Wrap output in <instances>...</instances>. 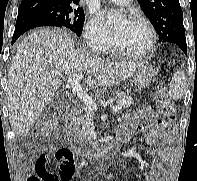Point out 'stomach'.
<instances>
[{
	"instance_id": "obj_1",
	"label": "stomach",
	"mask_w": 197,
	"mask_h": 181,
	"mask_svg": "<svg viewBox=\"0 0 197 181\" xmlns=\"http://www.w3.org/2000/svg\"><path fill=\"white\" fill-rule=\"evenodd\" d=\"M158 71L148 63H142L133 75L134 84L140 88L149 87L156 79Z\"/></svg>"
}]
</instances>
